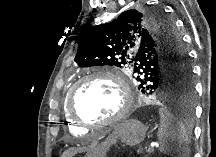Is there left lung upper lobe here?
Segmentation results:
<instances>
[{"mask_svg":"<svg viewBox=\"0 0 216 157\" xmlns=\"http://www.w3.org/2000/svg\"><path fill=\"white\" fill-rule=\"evenodd\" d=\"M75 62L79 67H127L144 94L164 92L193 102L187 52L164 10L141 6L94 27L83 35Z\"/></svg>","mask_w":216,"mask_h":157,"instance_id":"left-lung-upper-lobe-1","label":"left lung upper lobe"}]
</instances>
